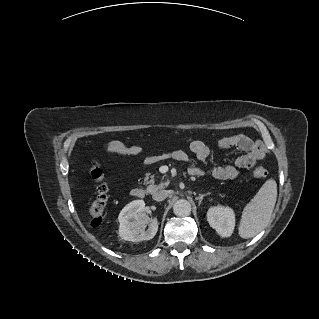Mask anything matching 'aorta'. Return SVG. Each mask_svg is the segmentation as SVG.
<instances>
[{
  "mask_svg": "<svg viewBox=\"0 0 319 319\" xmlns=\"http://www.w3.org/2000/svg\"><path fill=\"white\" fill-rule=\"evenodd\" d=\"M173 212L178 217H186L191 213V204L186 199H179L173 205Z\"/></svg>",
  "mask_w": 319,
  "mask_h": 319,
  "instance_id": "aorta-1",
  "label": "aorta"
}]
</instances>
